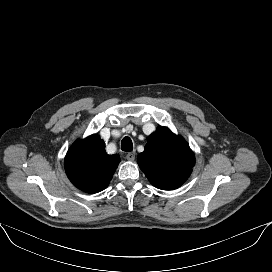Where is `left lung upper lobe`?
Wrapping results in <instances>:
<instances>
[{"mask_svg": "<svg viewBox=\"0 0 272 272\" xmlns=\"http://www.w3.org/2000/svg\"><path fill=\"white\" fill-rule=\"evenodd\" d=\"M137 161L148 180L162 190L180 187L195 163L188 143L162 126L148 137L145 150L138 155Z\"/></svg>", "mask_w": 272, "mask_h": 272, "instance_id": "left-lung-upper-lobe-1", "label": "left lung upper lobe"}]
</instances>
